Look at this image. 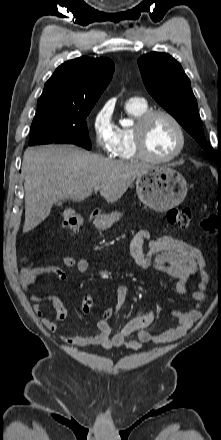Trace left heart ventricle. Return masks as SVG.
Here are the masks:
<instances>
[{"mask_svg":"<svg viewBox=\"0 0 221 440\" xmlns=\"http://www.w3.org/2000/svg\"><path fill=\"white\" fill-rule=\"evenodd\" d=\"M145 143L152 155L169 156L176 150L179 143L177 130L166 117L157 116L146 127Z\"/></svg>","mask_w":221,"mask_h":440,"instance_id":"obj_1","label":"left heart ventricle"}]
</instances>
